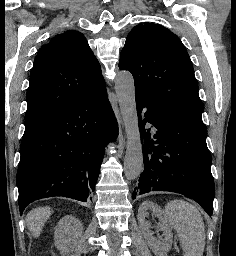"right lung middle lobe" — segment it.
<instances>
[{
	"label": "right lung middle lobe",
	"mask_w": 236,
	"mask_h": 256,
	"mask_svg": "<svg viewBox=\"0 0 236 256\" xmlns=\"http://www.w3.org/2000/svg\"><path fill=\"white\" fill-rule=\"evenodd\" d=\"M39 123H34V122H30V123H25V131L31 130L32 128H34L35 126H37Z\"/></svg>",
	"instance_id": "right-lung-middle-lobe-1"
}]
</instances>
